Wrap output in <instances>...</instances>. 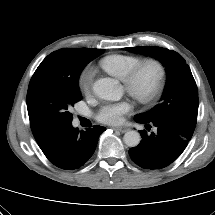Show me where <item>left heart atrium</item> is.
I'll return each instance as SVG.
<instances>
[{"label": "left heart atrium", "mask_w": 215, "mask_h": 215, "mask_svg": "<svg viewBox=\"0 0 215 215\" xmlns=\"http://www.w3.org/2000/svg\"><path fill=\"white\" fill-rule=\"evenodd\" d=\"M131 109L132 106L127 100L107 103L99 109L96 118L98 121L105 124H119L122 121L123 115L130 112Z\"/></svg>", "instance_id": "39dd6f15"}]
</instances>
